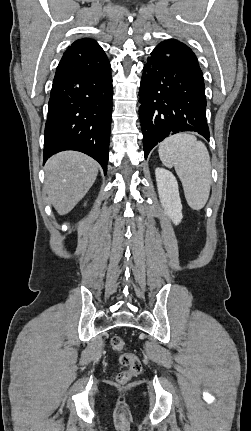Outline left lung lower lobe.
Here are the masks:
<instances>
[{
  "label": "left lung lower lobe",
  "instance_id": "1",
  "mask_svg": "<svg viewBox=\"0 0 251 431\" xmlns=\"http://www.w3.org/2000/svg\"><path fill=\"white\" fill-rule=\"evenodd\" d=\"M139 117L145 158L169 135L195 131L209 141L202 71L192 50L175 39L158 44L144 65Z\"/></svg>",
  "mask_w": 251,
  "mask_h": 431
}]
</instances>
